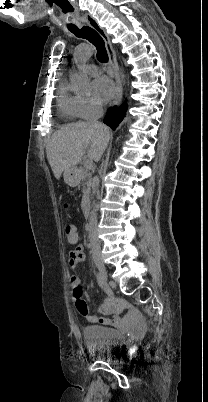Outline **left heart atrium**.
<instances>
[{
  "label": "left heart atrium",
  "mask_w": 208,
  "mask_h": 402,
  "mask_svg": "<svg viewBox=\"0 0 208 402\" xmlns=\"http://www.w3.org/2000/svg\"><path fill=\"white\" fill-rule=\"evenodd\" d=\"M94 89L98 93L97 97L104 101H111L116 93L113 82L106 76H98L94 81Z\"/></svg>",
  "instance_id": "39dd6f15"
}]
</instances>
